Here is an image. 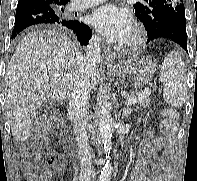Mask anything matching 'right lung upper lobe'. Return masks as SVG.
<instances>
[{
	"instance_id": "obj_1",
	"label": "right lung upper lobe",
	"mask_w": 197,
	"mask_h": 181,
	"mask_svg": "<svg viewBox=\"0 0 197 181\" xmlns=\"http://www.w3.org/2000/svg\"><path fill=\"white\" fill-rule=\"evenodd\" d=\"M38 1H42L48 5L51 6H57V5H62L64 6L65 4H67L70 0H38Z\"/></svg>"
}]
</instances>
